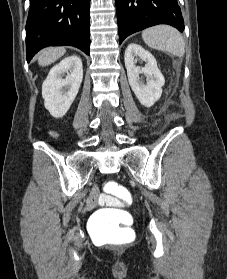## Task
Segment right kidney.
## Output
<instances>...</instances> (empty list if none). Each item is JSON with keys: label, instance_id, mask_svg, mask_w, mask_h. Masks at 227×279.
I'll return each instance as SVG.
<instances>
[{"label": "right kidney", "instance_id": "obj_1", "mask_svg": "<svg viewBox=\"0 0 227 279\" xmlns=\"http://www.w3.org/2000/svg\"><path fill=\"white\" fill-rule=\"evenodd\" d=\"M82 79L83 65L77 55L68 56L52 67L42 85V96L45 108L53 117L61 118L67 113Z\"/></svg>", "mask_w": 227, "mask_h": 279}]
</instances>
